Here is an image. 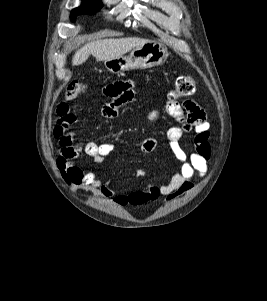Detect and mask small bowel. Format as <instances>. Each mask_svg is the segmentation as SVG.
Here are the masks:
<instances>
[{
	"label": "small bowel",
	"mask_w": 267,
	"mask_h": 301,
	"mask_svg": "<svg viewBox=\"0 0 267 301\" xmlns=\"http://www.w3.org/2000/svg\"><path fill=\"white\" fill-rule=\"evenodd\" d=\"M135 81H117L105 86L103 95L108 98L101 109L104 118H115L119 109L131 103L136 95ZM167 113L178 120L180 124L170 127L167 130V141L170 150L181 163L179 169L172 175L169 182L154 186L148 185L144 189L125 191L111 187L103 182L101 178L92 171H83L75 160L84 155L90 158L95 166H99L103 160L113 151L114 144L110 142L76 144L74 134L69 130L76 121L75 106L62 101L57 105L56 112L58 121L54 128V136L60 144V156L57 165L62 173L65 182L74 190H85L97 196H106L113 199L119 205H142L160 196H165L166 201L190 191L194 184L192 179L198 175L203 177L208 170V161L211 155L209 144L210 124L205 117L203 109L192 101L180 105L174 100L166 104ZM151 120L158 118V112L153 110L149 113ZM194 132L195 149L189 153L183 150L180 140L184 134ZM156 138L145 139L141 144L144 153H150L157 147ZM144 175L137 173V178Z\"/></svg>",
	"instance_id": "obj_1"
}]
</instances>
